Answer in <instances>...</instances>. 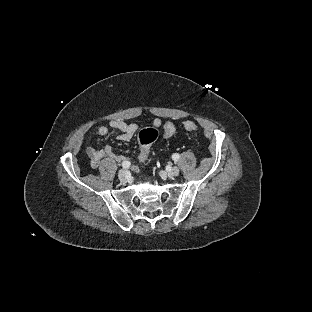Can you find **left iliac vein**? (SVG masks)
I'll use <instances>...</instances> for the list:
<instances>
[{
  "mask_svg": "<svg viewBox=\"0 0 312 312\" xmlns=\"http://www.w3.org/2000/svg\"><path fill=\"white\" fill-rule=\"evenodd\" d=\"M179 168L178 167H176V166H174V167H171L168 171H167V173H168V175L169 176H177L178 174H179Z\"/></svg>",
  "mask_w": 312,
  "mask_h": 312,
  "instance_id": "1",
  "label": "left iliac vein"
}]
</instances>
